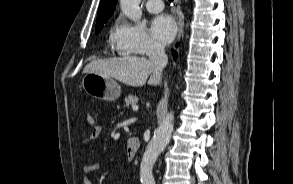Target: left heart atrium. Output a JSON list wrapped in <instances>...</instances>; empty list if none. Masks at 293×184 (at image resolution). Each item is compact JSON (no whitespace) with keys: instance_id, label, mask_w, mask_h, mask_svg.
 <instances>
[{"instance_id":"1","label":"left heart atrium","mask_w":293,"mask_h":184,"mask_svg":"<svg viewBox=\"0 0 293 184\" xmlns=\"http://www.w3.org/2000/svg\"><path fill=\"white\" fill-rule=\"evenodd\" d=\"M177 30L175 20L166 14L153 19L150 27L152 36L161 44L169 43Z\"/></svg>"}]
</instances>
